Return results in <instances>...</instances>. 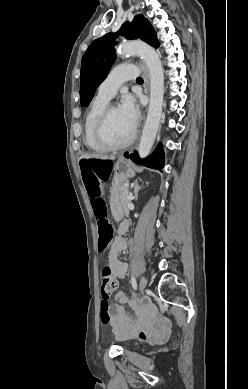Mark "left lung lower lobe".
Listing matches in <instances>:
<instances>
[{
    "label": "left lung lower lobe",
    "instance_id": "left-lung-lower-lobe-1",
    "mask_svg": "<svg viewBox=\"0 0 248 389\" xmlns=\"http://www.w3.org/2000/svg\"><path fill=\"white\" fill-rule=\"evenodd\" d=\"M126 158H130L133 162L142 164L146 167L160 170L162 171V168L164 166V152L161 145H158L154 153L146 158V159H139L137 151H135L133 154L129 155L128 152L124 154Z\"/></svg>",
    "mask_w": 248,
    "mask_h": 389
}]
</instances>
